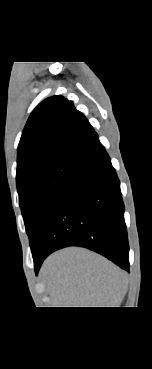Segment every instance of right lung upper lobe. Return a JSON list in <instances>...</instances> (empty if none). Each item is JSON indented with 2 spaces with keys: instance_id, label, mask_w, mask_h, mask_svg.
I'll return each mask as SVG.
<instances>
[{
  "instance_id": "obj_1",
  "label": "right lung upper lobe",
  "mask_w": 152,
  "mask_h": 369,
  "mask_svg": "<svg viewBox=\"0 0 152 369\" xmlns=\"http://www.w3.org/2000/svg\"><path fill=\"white\" fill-rule=\"evenodd\" d=\"M98 143L97 133L72 101L60 95L47 98L33 110L22 132L16 180L57 162L76 163Z\"/></svg>"
}]
</instances>
